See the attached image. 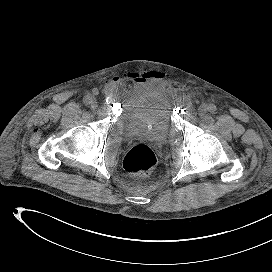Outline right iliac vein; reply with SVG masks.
Returning <instances> with one entry per match:
<instances>
[{
	"label": "right iliac vein",
	"instance_id": "right-iliac-vein-1",
	"mask_svg": "<svg viewBox=\"0 0 272 272\" xmlns=\"http://www.w3.org/2000/svg\"><path fill=\"white\" fill-rule=\"evenodd\" d=\"M90 104L92 108H96L97 107V100L95 97H90Z\"/></svg>",
	"mask_w": 272,
	"mask_h": 272
}]
</instances>
